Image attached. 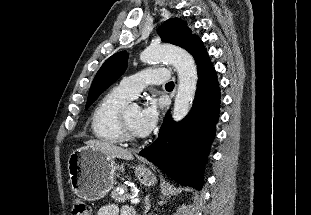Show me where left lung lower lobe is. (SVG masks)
<instances>
[{
  "instance_id": "1",
  "label": "left lung lower lobe",
  "mask_w": 311,
  "mask_h": 215,
  "mask_svg": "<svg viewBox=\"0 0 311 215\" xmlns=\"http://www.w3.org/2000/svg\"><path fill=\"white\" fill-rule=\"evenodd\" d=\"M187 51L193 55L198 71L192 109L178 123L166 114L158 139L139 154L180 184L200 190L204 164L215 136L221 95L215 70L201 40L197 38Z\"/></svg>"
}]
</instances>
